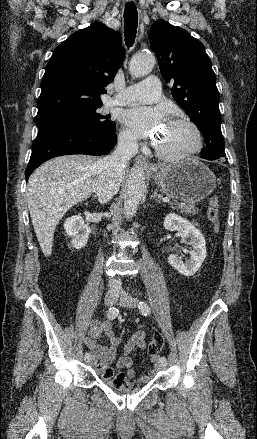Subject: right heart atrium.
I'll use <instances>...</instances> for the list:
<instances>
[{
    "label": "right heart atrium",
    "instance_id": "right-heart-atrium-1",
    "mask_svg": "<svg viewBox=\"0 0 257 439\" xmlns=\"http://www.w3.org/2000/svg\"><path fill=\"white\" fill-rule=\"evenodd\" d=\"M118 141L120 147L124 152L130 154L135 152L137 148V139L129 130H121L119 133Z\"/></svg>",
    "mask_w": 257,
    "mask_h": 439
}]
</instances>
